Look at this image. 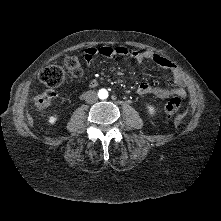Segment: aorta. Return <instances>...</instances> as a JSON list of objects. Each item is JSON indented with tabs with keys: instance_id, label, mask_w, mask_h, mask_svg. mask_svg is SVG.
<instances>
[{
	"instance_id": "762f6f07",
	"label": "aorta",
	"mask_w": 221,
	"mask_h": 221,
	"mask_svg": "<svg viewBox=\"0 0 221 221\" xmlns=\"http://www.w3.org/2000/svg\"><path fill=\"white\" fill-rule=\"evenodd\" d=\"M98 97L100 99H106L108 97V91L106 89H100L98 92Z\"/></svg>"
}]
</instances>
